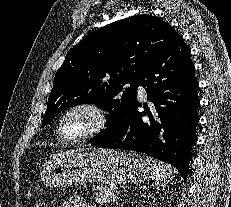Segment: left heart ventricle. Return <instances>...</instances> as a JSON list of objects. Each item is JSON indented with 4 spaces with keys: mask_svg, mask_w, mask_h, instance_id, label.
<instances>
[{
    "mask_svg": "<svg viewBox=\"0 0 231 207\" xmlns=\"http://www.w3.org/2000/svg\"><path fill=\"white\" fill-rule=\"evenodd\" d=\"M94 125L92 114L86 110H76L65 120V133L69 137H80L86 134Z\"/></svg>",
    "mask_w": 231,
    "mask_h": 207,
    "instance_id": "b2bd125f",
    "label": "left heart ventricle"
}]
</instances>
